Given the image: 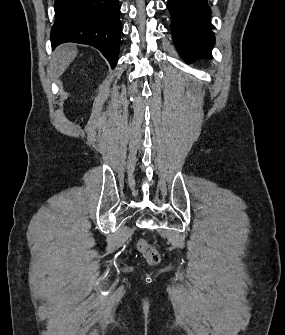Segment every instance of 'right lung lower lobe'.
I'll use <instances>...</instances> for the list:
<instances>
[{
	"label": "right lung lower lobe",
	"mask_w": 285,
	"mask_h": 335,
	"mask_svg": "<svg viewBox=\"0 0 285 335\" xmlns=\"http://www.w3.org/2000/svg\"><path fill=\"white\" fill-rule=\"evenodd\" d=\"M51 45L75 42L102 52L114 68L118 61L121 23L118 0H55Z\"/></svg>",
	"instance_id": "98d812e1"
}]
</instances>
